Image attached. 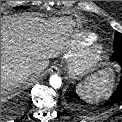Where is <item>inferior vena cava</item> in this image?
I'll return each mask as SVG.
<instances>
[{
	"mask_svg": "<svg viewBox=\"0 0 122 122\" xmlns=\"http://www.w3.org/2000/svg\"><path fill=\"white\" fill-rule=\"evenodd\" d=\"M48 64H49V61H48V60L38 62V63L33 67L32 71H33L34 73H40V72H42L43 70H45V69L48 67Z\"/></svg>",
	"mask_w": 122,
	"mask_h": 122,
	"instance_id": "inferior-vena-cava-1",
	"label": "inferior vena cava"
}]
</instances>
